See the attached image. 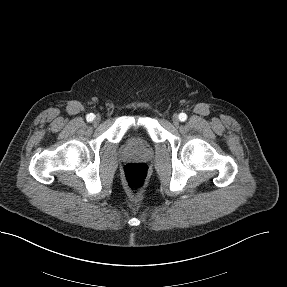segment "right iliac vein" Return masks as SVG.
<instances>
[{
  "mask_svg": "<svg viewBox=\"0 0 287 287\" xmlns=\"http://www.w3.org/2000/svg\"><path fill=\"white\" fill-rule=\"evenodd\" d=\"M100 120H101L100 116H96L94 119V125L99 124Z\"/></svg>",
  "mask_w": 287,
  "mask_h": 287,
  "instance_id": "63e3f726",
  "label": "right iliac vein"
}]
</instances>
